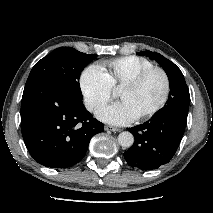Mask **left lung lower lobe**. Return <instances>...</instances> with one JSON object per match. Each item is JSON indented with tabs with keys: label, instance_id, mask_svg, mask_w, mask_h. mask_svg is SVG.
Returning <instances> with one entry per match:
<instances>
[{
	"label": "left lung lower lobe",
	"instance_id": "obj_1",
	"mask_svg": "<svg viewBox=\"0 0 213 213\" xmlns=\"http://www.w3.org/2000/svg\"><path fill=\"white\" fill-rule=\"evenodd\" d=\"M188 113L177 110L154 115L146 123L129 128L135 141L124 153L127 163L141 170H152L168 163L183 137Z\"/></svg>",
	"mask_w": 213,
	"mask_h": 213
}]
</instances>
